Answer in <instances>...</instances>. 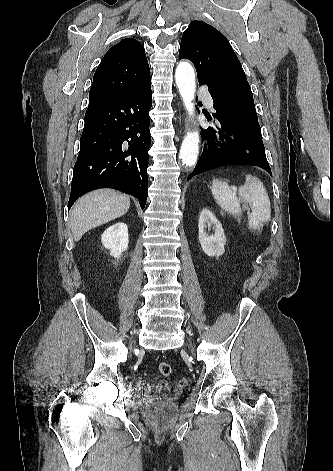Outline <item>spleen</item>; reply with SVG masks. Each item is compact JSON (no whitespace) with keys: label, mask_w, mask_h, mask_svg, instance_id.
Segmentation results:
<instances>
[{"label":"spleen","mask_w":333,"mask_h":471,"mask_svg":"<svg viewBox=\"0 0 333 471\" xmlns=\"http://www.w3.org/2000/svg\"><path fill=\"white\" fill-rule=\"evenodd\" d=\"M212 194L217 204L232 216H239L241 208L239 199L252 205L248 215V226L258 230L260 225L271 218V206L268 194L262 182L255 176L246 175V182L238 189L239 199L230 186L222 181L213 179Z\"/></svg>","instance_id":"1"}]
</instances>
